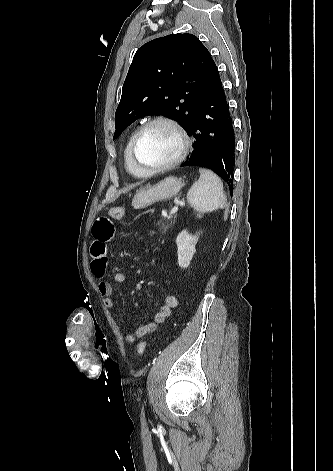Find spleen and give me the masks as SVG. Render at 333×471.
<instances>
[{"instance_id": "spleen-1", "label": "spleen", "mask_w": 333, "mask_h": 471, "mask_svg": "<svg viewBox=\"0 0 333 471\" xmlns=\"http://www.w3.org/2000/svg\"><path fill=\"white\" fill-rule=\"evenodd\" d=\"M200 178L187 194L189 205L197 212L208 213L226 206L220 178L208 169H199Z\"/></svg>"}]
</instances>
